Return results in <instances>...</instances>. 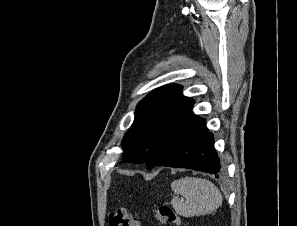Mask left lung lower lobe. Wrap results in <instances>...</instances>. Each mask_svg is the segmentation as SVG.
Wrapping results in <instances>:
<instances>
[{"instance_id":"0a47b994","label":"left lung lower lobe","mask_w":297,"mask_h":226,"mask_svg":"<svg viewBox=\"0 0 297 226\" xmlns=\"http://www.w3.org/2000/svg\"><path fill=\"white\" fill-rule=\"evenodd\" d=\"M155 166L190 168L223 175V169L214 149L213 134L205 126V120L191 113L178 130L175 139Z\"/></svg>"}]
</instances>
